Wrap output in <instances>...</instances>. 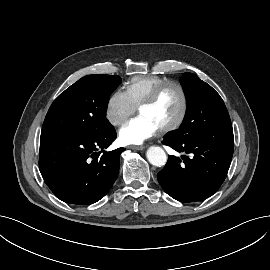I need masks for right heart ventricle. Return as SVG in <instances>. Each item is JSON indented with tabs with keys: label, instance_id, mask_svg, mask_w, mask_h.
<instances>
[{
	"label": "right heart ventricle",
	"instance_id": "1",
	"mask_svg": "<svg viewBox=\"0 0 270 270\" xmlns=\"http://www.w3.org/2000/svg\"><path fill=\"white\" fill-rule=\"evenodd\" d=\"M167 80L157 75L135 76L125 83V92L138 107L157 85Z\"/></svg>",
	"mask_w": 270,
	"mask_h": 270
}]
</instances>
